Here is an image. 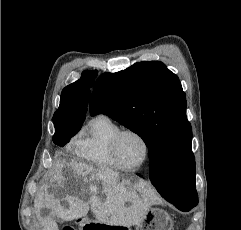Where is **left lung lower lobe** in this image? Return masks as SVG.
I'll return each mask as SVG.
<instances>
[{
	"label": "left lung lower lobe",
	"mask_w": 241,
	"mask_h": 230,
	"mask_svg": "<svg viewBox=\"0 0 241 230\" xmlns=\"http://www.w3.org/2000/svg\"><path fill=\"white\" fill-rule=\"evenodd\" d=\"M166 163L163 159L150 160V180L157 191L169 202L173 203L181 211H189L198 203V196L191 202H182L175 199L167 198L163 192L166 185ZM139 175V174H138Z\"/></svg>",
	"instance_id": "0a47b994"
}]
</instances>
